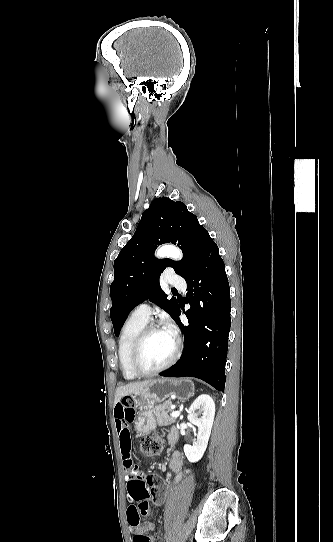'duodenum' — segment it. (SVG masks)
I'll use <instances>...</instances> for the list:
<instances>
[{"instance_id": "duodenum-1", "label": "duodenum", "mask_w": 333, "mask_h": 542, "mask_svg": "<svg viewBox=\"0 0 333 542\" xmlns=\"http://www.w3.org/2000/svg\"><path fill=\"white\" fill-rule=\"evenodd\" d=\"M177 438H178V434H176V433H171L168 436L169 442H171V443L176 442Z\"/></svg>"}]
</instances>
